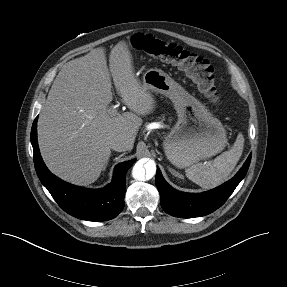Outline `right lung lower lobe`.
I'll return each mask as SVG.
<instances>
[{
  "instance_id": "98d812e1",
  "label": "right lung lower lobe",
  "mask_w": 287,
  "mask_h": 287,
  "mask_svg": "<svg viewBox=\"0 0 287 287\" xmlns=\"http://www.w3.org/2000/svg\"><path fill=\"white\" fill-rule=\"evenodd\" d=\"M31 143L36 173L65 212L82 220L106 221L115 218L123 210L126 173L135 159L118 164L112 182L106 187L85 189L60 180L47 169L37 144V118L32 125Z\"/></svg>"
}]
</instances>
